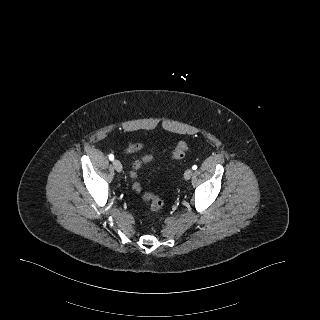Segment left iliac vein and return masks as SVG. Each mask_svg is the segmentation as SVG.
Listing matches in <instances>:
<instances>
[{
    "label": "left iliac vein",
    "mask_w": 320,
    "mask_h": 320,
    "mask_svg": "<svg viewBox=\"0 0 320 320\" xmlns=\"http://www.w3.org/2000/svg\"><path fill=\"white\" fill-rule=\"evenodd\" d=\"M192 174H193V170H192V169H187V170L185 171V173H184V178H185L186 180H189V179L191 178Z\"/></svg>",
    "instance_id": "4c4485c4"
}]
</instances>
